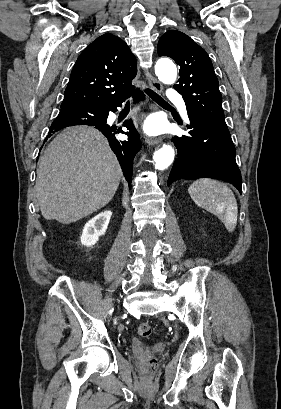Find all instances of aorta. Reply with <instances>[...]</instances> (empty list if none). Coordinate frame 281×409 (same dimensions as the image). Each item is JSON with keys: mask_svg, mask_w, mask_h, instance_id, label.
Returning <instances> with one entry per match:
<instances>
[{"mask_svg": "<svg viewBox=\"0 0 281 409\" xmlns=\"http://www.w3.org/2000/svg\"><path fill=\"white\" fill-rule=\"evenodd\" d=\"M155 73L164 84H173L177 78V68L169 59H159L155 65ZM174 155V149L170 145H163L154 153L155 168L158 170L168 168L174 160Z\"/></svg>", "mask_w": 281, "mask_h": 409, "instance_id": "762f6f07", "label": "aorta"}]
</instances>
